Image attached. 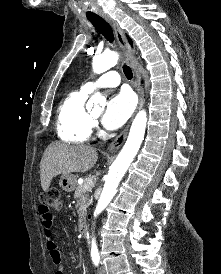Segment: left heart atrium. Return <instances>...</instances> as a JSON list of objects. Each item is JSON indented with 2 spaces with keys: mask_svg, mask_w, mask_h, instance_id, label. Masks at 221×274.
<instances>
[{
  "mask_svg": "<svg viewBox=\"0 0 221 274\" xmlns=\"http://www.w3.org/2000/svg\"><path fill=\"white\" fill-rule=\"evenodd\" d=\"M135 107L134 96L127 91H122L113 96L108 102L102 117L103 125L110 130L119 128L131 116Z\"/></svg>",
  "mask_w": 221,
  "mask_h": 274,
  "instance_id": "left-heart-atrium-1",
  "label": "left heart atrium"
}]
</instances>
